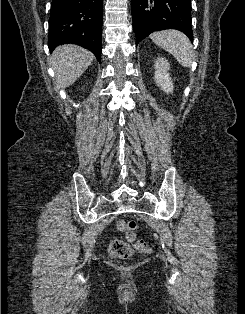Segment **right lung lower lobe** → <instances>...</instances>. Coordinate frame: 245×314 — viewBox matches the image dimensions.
Returning <instances> with one entry per match:
<instances>
[{
  "instance_id": "98d812e1",
  "label": "right lung lower lobe",
  "mask_w": 245,
  "mask_h": 314,
  "mask_svg": "<svg viewBox=\"0 0 245 314\" xmlns=\"http://www.w3.org/2000/svg\"><path fill=\"white\" fill-rule=\"evenodd\" d=\"M103 0H52L49 18V50L74 43L101 60Z\"/></svg>"
}]
</instances>
